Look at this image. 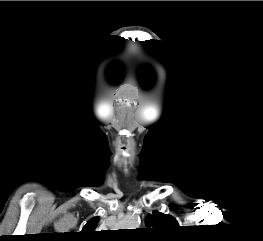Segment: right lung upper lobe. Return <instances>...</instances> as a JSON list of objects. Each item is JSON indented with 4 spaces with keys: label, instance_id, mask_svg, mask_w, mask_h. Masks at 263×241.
Segmentation results:
<instances>
[{
    "label": "right lung upper lobe",
    "instance_id": "obj_1",
    "mask_svg": "<svg viewBox=\"0 0 263 241\" xmlns=\"http://www.w3.org/2000/svg\"><path fill=\"white\" fill-rule=\"evenodd\" d=\"M99 222V217H93L90 219L86 225L83 227L82 231L80 232V238L82 240L91 241L98 237V234L95 233V228Z\"/></svg>",
    "mask_w": 263,
    "mask_h": 241
}]
</instances>
